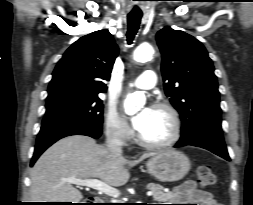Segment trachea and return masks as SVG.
I'll use <instances>...</instances> for the list:
<instances>
[{"instance_id": "3493384b", "label": "trachea", "mask_w": 253, "mask_h": 205, "mask_svg": "<svg viewBox=\"0 0 253 205\" xmlns=\"http://www.w3.org/2000/svg\"><path fill=\"white\" fill-rule=\"evenodd\" d=\"M142 18L141 13H130L128 14V31H127V42L131 44L140 25Z\"/></svg>"}]
</instances>
